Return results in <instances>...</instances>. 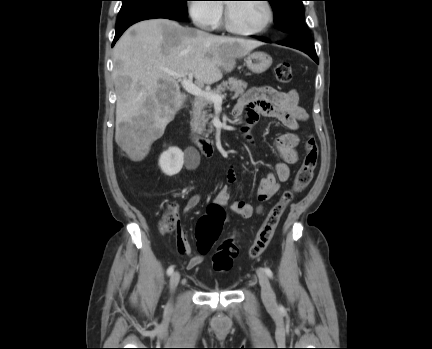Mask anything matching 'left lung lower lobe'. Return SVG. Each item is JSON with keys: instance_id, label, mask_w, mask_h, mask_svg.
<instances>
[{"instance_id": "0a47b994", "label": "left lung lower lobe", "mask_w": 432, "mask_h": 349, "mask_svg": "<svg viewBox=\"0 0 432 349\" xmlns=\"http://www.w3.org/2000/svg\"><path fill=\"white\" fill-rule=\"evenodd\" d=\"M264 41H268L266 39L261 38ZM280 45L288 46L291 48H295L301 50L308 54L316 63L318 62V57L316 55L314 44L311 40V37L305 36H289V39L284 42H279Z\"/></svg>"}]
</instances>
